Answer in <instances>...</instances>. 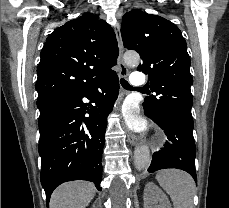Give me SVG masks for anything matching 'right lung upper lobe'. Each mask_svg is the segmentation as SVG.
I'll return each instance as SVG.
<instances>
[{"instance_id":"right-lung-upper-lobe-1","label":"right lung upper lobe","mask_w":229,"mask_h":208,"mask_svg":"<svg viewBox=\"0 0 229 208\" xmlns=\"http://www.w3.org/2000/svg\"><path fill=\"white\" fill-rule=\"evenodd\" d=\"M119 49L113 29L97 15L85 14L50 34L37 68V104L70 100L116 75Z\"/></svg>"}]
</instances>
